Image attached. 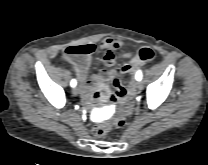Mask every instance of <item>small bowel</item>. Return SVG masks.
Segmentation results:
<instances>
[{
	"instance_id": "small-bowel-1",
	"label": "small bowel",
	"mask_w": 208,
	"mask_h": 165,
	"mask_svg": "<svg viewBox=\"0 0 208 165\" xmlns=\"http://www.w3.org/2000/svg\"><path fill=\"white\" fill-rule=\"evenodd\" d=\"M89 47L90 52L82 56L64 57L67 64L71 65L76 73V76L80 82L78 88L81 94L85 97H89L93 93L94 98L101 99L99 90L102 88L105 81L111 80L109 93L107 100L110 103H117L119 101L120 90L122 88L121 81L116 79V71L114 69L102 70L101 72L93 75L91 78H87L88 67L92 54L96 51L97 46L92 43L84 44ZM120 47V43L112 40L111 38H103L98 48L105 51L104 62L108 66H112L116 61L115 51ZM131 54H126L123 57L129 58Z\"/></svg>"
}]
</instances>
